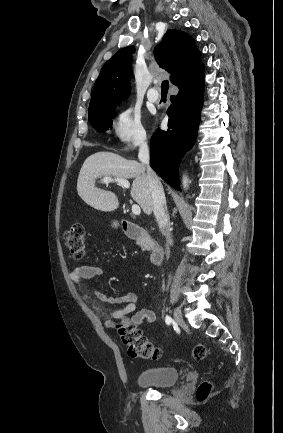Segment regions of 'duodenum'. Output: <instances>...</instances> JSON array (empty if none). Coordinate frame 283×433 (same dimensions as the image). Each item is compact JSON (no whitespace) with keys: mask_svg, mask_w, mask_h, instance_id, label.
Listing matches in <instances>:
<instances>
[{"mask_svg":"<svg viewBox=\"0 0 283 433\" xmlns=\"http://www.w3.org/2000/svg\"><path fill=\"white\" fill-rule=\"evenodd\" d=\"M123 230L128 238L150 248V259L153 264L159 265L162 263L164 259V249L149 231L131 221L123 222Z\"/></svg>","mask_w":283,"mask_h":433,"instance_id":"obj_1","label":"duodenum"}]
</instances>
